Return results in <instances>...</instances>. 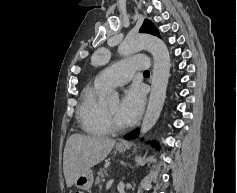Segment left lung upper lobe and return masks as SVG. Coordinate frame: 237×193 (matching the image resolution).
I'll use <instances>...</instances> for the list:
<instances>
[{
  "mask_svg": "<svg viewBox=\"0 0 237 193\" xmlns=\"http://www.w3.org/2000/svg\"><path fill=\"white\" fill-rule=\"evenodd\" d=\"M140 32L149 33V34L156 35V36L160 37L157 28L154 26V24L150 20H147V19L144 20V22L140 28Z\"/></svg>",
  "mask_w": 237,
  "mask_h": 193,
  "instance_id": "obj_1",
  "label": "left lung upper lobe"
}]
</instances>
